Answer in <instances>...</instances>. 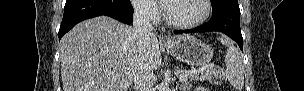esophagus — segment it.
I'll use <instances>...</instances> for the list:
<instances>
[{
	"instance_id": "34e87169",
	"label": "esophagus",
	"mask_w": 304,
	"mask_h": 91,
	"mask_svg": "<svg viewBox=\"0 0 304 91\" xmlns=\"http://www.w3.org/2000/svg\"><path fill=\"white\" fill-rule=\"evenodd\" d=\"M166 42H168V41L164 39V40H163V43H166Z\"/></svg>"
}]
</instances>
